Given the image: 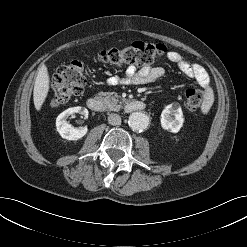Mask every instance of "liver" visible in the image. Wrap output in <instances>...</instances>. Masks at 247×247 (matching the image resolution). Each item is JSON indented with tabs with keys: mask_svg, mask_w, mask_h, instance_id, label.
Masks as SVG:
<instances>
[{
	"mask_svg": "<svg viewBox=\"0 0 247 247\" xmlns=\"http://www.w3.org/2000/svg\"><path fill=\"white\" fill-rule=\"evenodd\" d=\"M50 78L48 74L47 67L42 65L38 71L34 90H33V100L36 110H40L49 92Z\"/></svg>",
	"mask_w": 247,
	"mask_h": 247,
	"instance_id": "6515ba94",
	"label": "liver"
}]
</instances>
